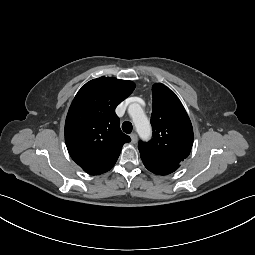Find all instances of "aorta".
I'll use <instances>...</instances> for the list:
<instances>
[{
    "mask_svg": "<svg viewBox=\"0 0 255 255\" xmlns=\"http://www.w3.org/2000/svg\"><path fill=\"white\" fill-rule=\"evenodd\" d=\"M128 111L132 117L139 136L143 139H148L151 135V126L140 105L136 103L131 104Z\"/></svg>",
    "mask_w": 255,
    "mask_h": 255,
    "instance_id": "aorta-1",
    "label": "aorta"
}]
</instances>
